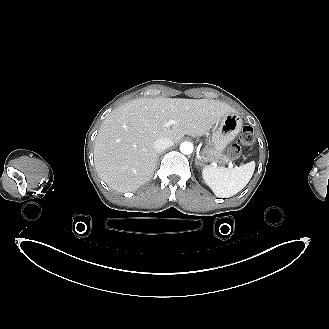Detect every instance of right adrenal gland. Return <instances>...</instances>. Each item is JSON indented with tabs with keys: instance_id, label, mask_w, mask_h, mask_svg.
I'll return each mask as SVG.
<instances>
[{
	"instance_id": "right-adrenal-gland-1",
	"label": "right adrenal gland",
	"mask_w": 329,
	"mask_h": 329,
	"mask_svg": "<svg viewBox=\"0 0 329 329\" xmlns=\"http://www.w3.org/2000/svg\"><path fill=\"white\" fill-rule=\"evenodd\" d=\"M160 154L157 155V159L159 158Z\"/></svg>"
}]
</instances>
